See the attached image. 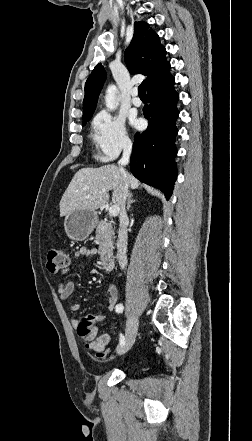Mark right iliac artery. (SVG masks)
Here are the masks:
<instances>
[{
    "label": "right iliac artery",
    "instance_id": "right-iliac-artery-1",
    "mask_svg": "<svg viewBox=\"0 0 252 441\" xmlns=\"http://www.w3.org/2000/svg\"><path fill=\"white\" fill-rule=\"evenodd\" d=\"M123 309H124V307H123L122 304H118L116 306V312L117 313H121L123 311ZM124 343H125V338H124V336L122 334H120V347H122L124 345Z\"/></svg>",
    "mask_w": 252,
    "mask_h": 441
}]
</instances>
